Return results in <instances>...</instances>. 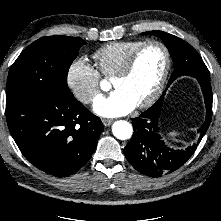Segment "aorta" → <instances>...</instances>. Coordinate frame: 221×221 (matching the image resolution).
<instances>
[{
  "label": "aorta",
  "mask_w": 221,
  "mask_h": 221,
  "mask_svg": "<svg viewBox=\"0 0 221 221\" xmlns=\"http://www.w3.org/2000/svg\"><path fill=\"white\" fill-rule=\"evenodd\" d=\"M112 133L117 139L126 140L132 136L133 127L125 120H118L112 125Z\"/></svg>",
  "instance_id": "762f6f07"
}]
</instances>
